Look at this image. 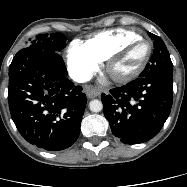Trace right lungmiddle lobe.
Masks as SVG:
<instances>
[{
	"instance_id": "1",
	"label": "right lung middle lobe",
	"mask_w": 187,
	"mask_h": 187,
	"mask_svg": "<svg viewBox=\"0 0 187 187\" xmlns=\"http://www.w3.org/2000/svg\"><path fill=\"white\" fill-rule=\"evenodd\" d=\"M66 39V36L61 33L37 35L33 40H30L28 45L25 47L59 53L66 46Z\"/></svg>"
}]
</instances>
